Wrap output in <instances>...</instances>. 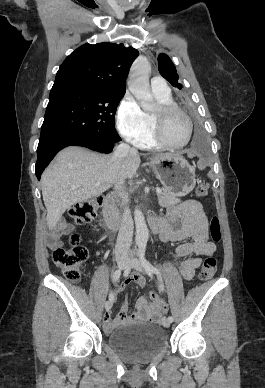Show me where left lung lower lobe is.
<instances>
[{
    "instance_id": "1",
    "label": "left lung lower lobe",
    "mask_w": 265,
    "mask_h": 388,
    "mask_svg": "<svg viewBox=\"0 0 265 388\" xmlns=\"http://www.w3.org/2000/svg\"><path fill=\"white\" fill-rule=\"evenodd\" d=\"M191 149L200 154H204L207 151L206 140L200 128L197 129L194 135Z\"/></svg>"
}]
</instances>
